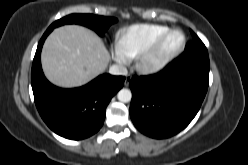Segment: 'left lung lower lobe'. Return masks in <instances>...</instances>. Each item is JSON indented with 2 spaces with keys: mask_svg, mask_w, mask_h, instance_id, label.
I'll return each instance as SVG.
<instances>
[{
  "mask_svg": "<svg viewBox=\"0 0 248 165\" xmlns=\"http://www.w3.org/2000/svg\"><path fill=\"white\" fill-rule=\"evenodd\" d=\"M209 56L194 46L157 74L130 81V116L136 128L152 138H168L195 117L209 84Z\"/></svg>",
  "mask_w": 248,
  "mask_h": 165,
  "instance_id": "0a47b994",
  "label": "left lung lower lobe"
}]
</instances>
